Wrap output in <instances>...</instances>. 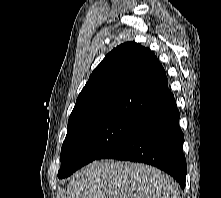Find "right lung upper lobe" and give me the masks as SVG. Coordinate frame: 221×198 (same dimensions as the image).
<instances>
[{
	"mask_svg": "<svg viewBox=\"0 0 221 198\" xmlns=\"http://www.w3.org/2000/svg\"><path fill=\"white\" fill-rule=\"evenodd\" d=\"M173 96L156 56L135 42L114 48L90 75L69 117L67 132L96 119H143Z\"/></svg>",
	"mask_w": 221,
	"mask_h": 198,
	"instance_id": "obj_1",
	"label": "right lung upper lobe"
}]
</instances>
